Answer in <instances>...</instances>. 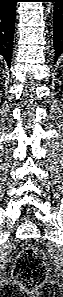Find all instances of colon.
I'll list each match as a JSON object with an SVG mask.
<instances>
[{
  "mask_svg": "<svg viewBox=\"0 0 63 297\" xmlns=\"http://www.w3.org/2000/svg\"><path fill=\"white\" fill-rule=\"evenodd\" d=\"M47 274L44 256L35 247L24 249L14 264L13 275L23 288L34 290L41 285Z\"/></svg>",
  "mask_w": 63,
  "mask_h": 297,
  "instance_id": "1",
  "label": "colon"
}]
</instances>
